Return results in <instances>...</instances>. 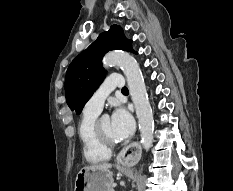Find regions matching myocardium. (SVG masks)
Segmentation results:
<instances>
[{
  "instance_id": "myocardium-1",
  "label": "myocardium",
  "mask_w": 233,
  "mask_h": 191,
  "mask_svg": "<svg viewBox=\"0 0 233 191\" xmlns=\"http://www.w3.org/2000/svg\"><path fill=\"white\" fill-rule=\"evenodd\" d=\"M94 131L99 142L108 149L114 147L116 141L113 138L106 136L100 128V120H97L94 126Z\"/></svg>"
}]
</instances>
